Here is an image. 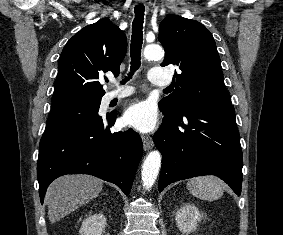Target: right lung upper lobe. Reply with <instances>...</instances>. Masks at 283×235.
Segmentation results:
<instances>
[{"mask_svg": "<svg viewBox=\"0 0 283 235\" xmlns=\"http://www.w3.org/2000/svg\"><path fill=\"white\" fill-rule=\"evenodd\" d=\"M126 51L124 32L108 18L81 29L61 53L53 103L79 97L102 98L105 92L99 80L107 71L119 74Z\"/></svg>", "mask_w": 283, "mask_h": 235, "instance_id": "cb5924a9", "label": "right lung upper lobe"}]
</instances>
